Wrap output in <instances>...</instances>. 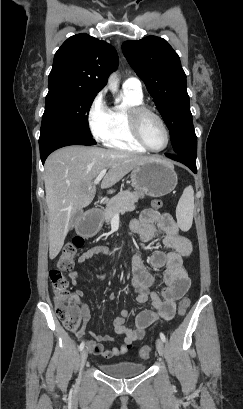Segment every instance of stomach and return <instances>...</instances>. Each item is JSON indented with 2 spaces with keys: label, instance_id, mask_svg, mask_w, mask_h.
Segmentation results:
<instances>
[{
  "label": "stomach",
  "instance_id": "stomach-1",
  "mask_svg": "<svg viewBox=\"0 0 243 409\" xmlns=\"http://www.w3.org/2000/svg\"><path fill=\"white\" fill-rule=\"evenodd\" d=\"M177 181L173 165L159 158L149 159L131 172L132 187L138 198L161 197L169 194L176 187ZM100 227L101 223L98 222L92 234Z\"/></svg>",
  "mask_w": 243,
  "mask_h": 409
}]
</instances>
